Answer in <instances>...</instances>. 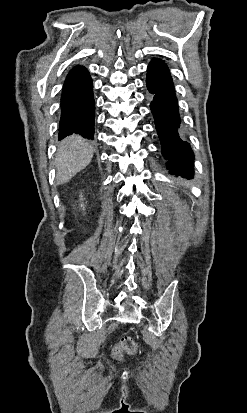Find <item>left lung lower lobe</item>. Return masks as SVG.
<instances>
[{"mask_svg":"<svg viewBox=\"0 0 247 413\" xmlns=\"http://www.w3.org/2000/svg\"><path fill=\"white\" fill-rule=\"evenodd\" d=\"M147 88L153 95L150 107L162 145V154L168 160L170 173L193 178L194 155L187 141L182 139L174 85L167 65L155 58L147 70Z\"/></svg>","mask_w":247,"mask_h":413,"instance_id":"left-lung-lower-lobe-1","label":"left lung lower lobe"}]
</instances>
